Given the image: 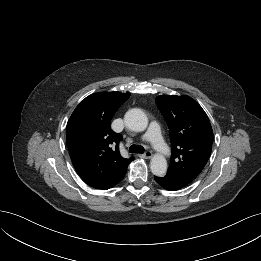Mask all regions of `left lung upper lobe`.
Returning a JSON list of instances; mask_svg holds the SVG:
<instances>
[{"instance_id": "left-lung-upper-lobe-1", "label": "left lung upper lobe", "mask_w": 261, "mask_h": 261, "mask_svg": "<svg viewBox=\"0 0 261 261\" xmlns=\"http://www.w3.org/2000/svg\"><path fill=\"white\" fill-rule=\"evenodd\" d=\"M156 105L164 116L172 143L167 174L187 185L201 173L212 150L213 131L202 107L189 96H158Z\"/></svg>"}]
</instances>
